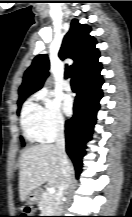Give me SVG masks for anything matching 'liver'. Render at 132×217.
<instances>
[{"instance_id": "liver-1", "label": "liver", "mask_w": 132, "mask_h": 217, "mask_svg": "<svg viewBox=\"0 0 132 217\" xmlns=\"http://www.w3.org/2000/svg\"><path fill=\"white\" fill-rule=\"evenodd\" d=\"M63 180L57 149L54 144H39L27 148L19 159L20 200L45 182L58 188Z\"/></svg>"}]
</instances>
